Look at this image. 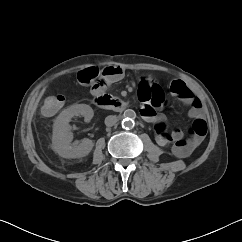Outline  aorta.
Segmentation results:
<instances>
[{
    "instance_id": "1",
    "label": "aorta",
    "mask_w": 242,
    "mask_h": 242,
    "mask_svg": "<svg viewBox=\"0 0 242 242\" xmlns=\"http://www.w3.org/2000/svg\"><path fill=\"white\" fill-rule=\"evenodd\" d=\"M124 119L122 120V127L124 129H132L135 125L134 119L136 118V113L132 109H127L124 111Z\"/></svg>"
}]
</instances>
